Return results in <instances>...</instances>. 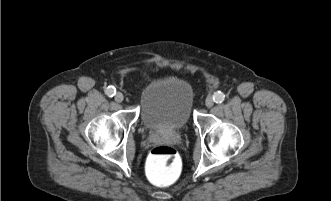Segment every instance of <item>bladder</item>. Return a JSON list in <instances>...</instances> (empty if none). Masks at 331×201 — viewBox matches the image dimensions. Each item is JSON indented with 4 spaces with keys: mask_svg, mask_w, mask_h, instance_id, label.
Segmentation results:
<instances>
[{
    "mask_svg": "<svg viewBox=\"0 0 331 201\" xmlns=\"http://www.w3.org/2000/svg\"><path fill=\"white\" fill-rule=\"evenodd\" d=\"M193 90L183 79L167 76L146 85L140 93V119L149 130H180L190 121Z\"/></svg>",
    "mask_w": 331,
    "mask_h": 201,
    "instance_id": "bladder-1",
    "label": "bladder"
}]
</instances>
